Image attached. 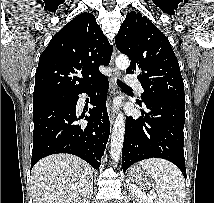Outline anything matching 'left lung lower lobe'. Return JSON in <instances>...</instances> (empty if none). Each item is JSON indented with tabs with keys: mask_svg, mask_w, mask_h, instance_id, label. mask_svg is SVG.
I'll list each match as a JSON object with an SVG mask.
<instances>
[{
	"mask_svg": "<svg viewBox=\"0 0 214 203\" xmlns=\"http://www.w3.org/2000/svg\"><path fill=\"white\" fill-rule=\"evenodd\" d=\"M138 119L127 117L122 150L125 172L135 162L163 158L174 163L186 178L184 159L185 103L149 100Z\"/></svg>",
	"mask_w": 214,
	"mask_h": 203,
	"instance_id": "0a47b994",
	"label": "left lung lower lobe"
}]
</instances>
